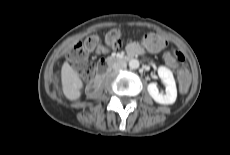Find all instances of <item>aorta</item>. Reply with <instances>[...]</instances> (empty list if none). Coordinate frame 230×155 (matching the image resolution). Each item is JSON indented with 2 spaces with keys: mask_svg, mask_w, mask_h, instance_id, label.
Segmentation results:
<instances>
[{
  "mask_svg": "<svg viewBox=\"0 0 230 155\" xmlns=\"http://www.w3.org/2000/svg\"><path fill=\"white\" fill-rule=\"evenodd\" d=\"M139 66H140V63H139V61L137 59H131L129 61V67H130V69H138Z\"/></svg>",
  "mask_w": 230,
  "mask_h": 155,
  "instance_id": "obj_1",
  "label": "aorta"
}]
</instances>
